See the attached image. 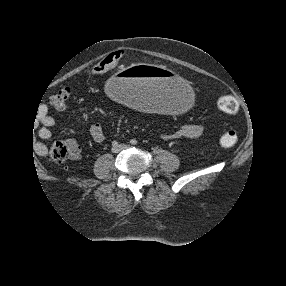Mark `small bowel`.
I'll list each match as a JSON object with an SVG mask.
<instances>
[{
  "instance_id": "small-bowel-1",
  "label": "small bowel",
  "mask_w": 286,
  "mask_h": 286,
  "mask_svg": "<svg viewBox=\"0 0 286 286\" xmlns=\"http://www.w3.org/2000/svg\"><path fill=\"white\" fill-rule=\"evenodd\" d=\"M40 122L41 127L38 130V136L42 140H48L52 136V130L55 121L54 118L48 113L47 110H43L40 113ZM203 128L198 123L187 122L181 124L175 131L172 133H167L164 135L166 139H182V138H197L202 134ZM90 134L92 139L97 143H102L106 139L104 129L101 124L95 123L90 128ZM65 144L71 151L72 157L78 159L80 156V146L74 139H66ZM35 150L40 155L47 154V146L39 142L35 146Z\"/></svg>"
}]
</instances>
